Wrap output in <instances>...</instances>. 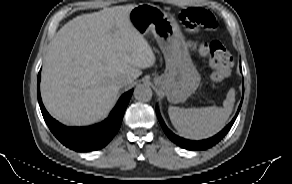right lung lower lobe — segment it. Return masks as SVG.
<instances>
[{
  "label": "right lung lower lobe",
  "mask_w": 292,
  "mask_h": 184,
  "mask_svg": "<svg viewBox=\"0 0 292 184\" xmlns=\"http://www.w3.org/2000/svg\"><path fill=\"white\" fill-rule=\"evenodd\" d=\"M39 82L40 73L37 79V95L45 122L54 136L63 145L78 152L101 149L112 140L120 128L124 111L133 92L131 90L122 95L110 116L103 122L89 127H66L53 119L46 111L40 97Z\"/></svg>",
  "instance_id": "right-lung-lower-lobe-1"
}]
</instances>
